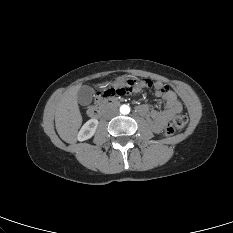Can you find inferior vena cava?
Wrapping results in <instances>:
<instances>
[{
    "label": "inferior vena cava",
    "instance_id": "1",
    "mask_svg": "<svg viewBox=\"0 0 233 233\" xmlns=\"http://www.w3.org/2000/svg\"><path fill=\"white\" fill-rule=\"evenodd\" d=\"M116 113H117V110L115 108H112L106 111V116L113 117L114 115H116Z\"/></svg>",
    "mask_w": 233,
    "mask_h": 233
}]
</instances>
